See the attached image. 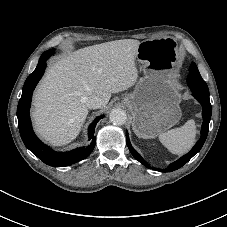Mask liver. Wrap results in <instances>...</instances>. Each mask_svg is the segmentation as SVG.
Masks as SVG:
<instances>
[{
	"mask_svg": "<svg viewBox=\"0 0 227 227\" xmlns=\"http://www.w3.org/2000/svg\"><path fill=\"white\" fill-rule=\"evenodd\" d=\"M140 41L115 40L79 49L52 65L33 98L34 128L54 146L70 143L88 115L86 101L100 96L105 107L112 93L132 87Z\"/></svg>",
	"mask_w": 227,
	"mask_h": 227,
	"instance_id": "6515ba94",
	"label": "liver"
}]
</instances>
